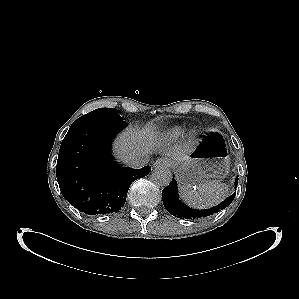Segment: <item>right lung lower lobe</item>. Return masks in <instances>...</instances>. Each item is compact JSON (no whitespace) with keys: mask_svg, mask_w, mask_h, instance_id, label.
Returning <instances> with one entry per match:
<instances>
[{"mask_svg":"<svg viewBox=\"0 0 299 299\" xmlns=\"http://www.w3.org/2000/svg\"><path fill=\"white\" fill-rule=\"evenodd\" d=\"M123 120L71 126L57 160L56 176L63 197L88 215L113 213L126 201L129 186L151 171L122 167L114 161L110 146L125 128Z\"/></svg>","mask_w":299,"mask_h":299,"instance_id":"right-lung-lower-lobe-1","label":"right lung lower lobe"}]
</instances>
